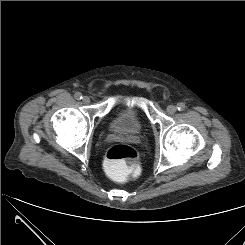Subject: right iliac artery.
I'll use <instances>...</instances> for the list:
<instances>
[{
  "label": "right iliac artery",
  "mask_w": 245,
  "mask_h": 245,
  "mask_svg": "<svg viewBox=\"0 0 245 245\" xmlns=\"http://www.w3.org/2000/svg\"><path fill=\"white\" fill-rule=\"evenodd\" d=\"M75 98L77 100H81L82 99V94L80 92L75 93Z\"/></svg>",
  "instance_id": "1"
}]
</instances>
